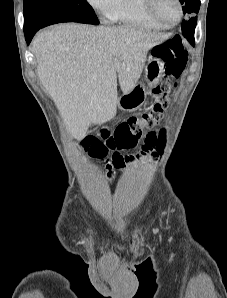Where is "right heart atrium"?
Wrapping results in <instances>:
<instances>
[{"instance_id": "d8ad5b80", "label": "right heart atrium", "mask_w": 227, "mask_h": 298, "mask_svg": "<svg viewBox=\"0 0 227 298\" xmlns=\"http://www.w3.org/2000/svg\"><path fill=\"white\" fill-rule=\"evenodd\" d=\"M87 2L97 10L104 11L108 6L110 0H87Z\"/></svg>"}]
</instances>
